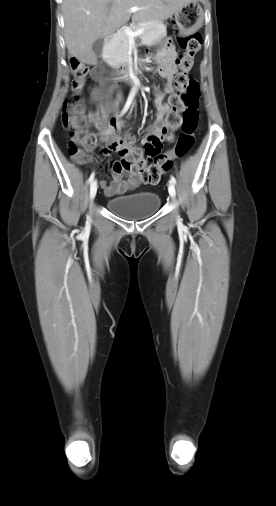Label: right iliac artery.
<instances>
[{
  "instance_id": "82829eb1",
  "label": "right iliac artery",
  "mask_w": 276,
  "mask_h": 506,
  "mask_svg": "<svg viewBox=\"0 0 276 506\" xmlns=\"http://www.w3.org/2000/svg\"><path fill=\"white\" fill-rule=\"evenodd\" d=\"M133 97H134V95H133V94H130V95L128 96V99H127V101H126V104H125V106H124L123 110L121 111L120 116L124 115V114L128 111V109H129V107H130V105H131V103H132ZM93 180H94V173H92V174L90 175V177H89V179H88V182H89V183H92V182H93Z\"/></svg>"
}]
</instances>
